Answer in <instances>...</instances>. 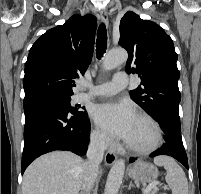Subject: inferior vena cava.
<instances>
[{"mask_svg": "<svg viewBox=\"0 0 201 194\" xmlns=\"http://www.w3.org/2000/svg\"><path fill=\"white\" fill-rule=\"evenodd\" d=\"M107 144L108 139L104 135L91 139L87 150V161L84 164L85 171L81 186V189L84 191V193L82 194H89L90 190L92 189Z\"/></svg>", "mask_w": 201, "mask_h": 194, "instance_id": "inferior-vena-cava-1", "label": "inferior vena cava"}]
</instances>
